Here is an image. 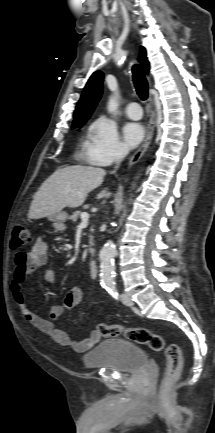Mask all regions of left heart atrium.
Returning <instances> with one entry per match:
<instances>
[{"instance_id":"obj_1","label":"left heart atrium","mask_w":215,"mask_h":433,"mask_svg":"<svg viewBox=\"0 0 215 433\" xmlns=\"http://www.w3.org/2000/svg\"><path fill=\"white\" fill-rule=\"evenodd\" d=\"M144 127L135 122H130L123 127V136L127 147H136L144 137Z\"/></svg>"}]
</instances>
